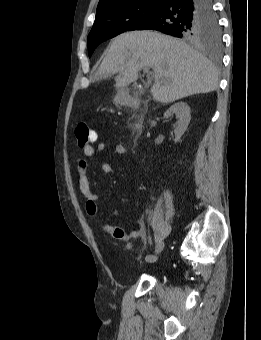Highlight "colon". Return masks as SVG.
Listing matches in <instances>:
<instances>
[{"mask_svg": "<svg viewBox=\"0 0 261 340\" xmlns=\"http://www.w3.org/2000/svg\"><path fill=\"white\" fill-rule=\"evenodd\" d=\"M75 136L78 144L82 147L97 140V133L90 129L85 122L79 123L75 128Z\"/></svg>", "mask_w": 261, "mask_h": 340, "instance_id": "5ec220e1", "label": "colon"}]
</instances>
